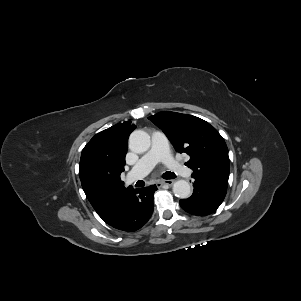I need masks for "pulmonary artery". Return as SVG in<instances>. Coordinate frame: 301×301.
<instances>
[{"label": "pulmonary artery", "mask_w": 301, "mask_h": 301, "mask_svg": "<svg viewBox=\"0 0 301 301\" xmlns=\"http://www.w3.org/2000/svg\"><path fill=\"white\" fill-rule=\"evenodd\" d=\"M158 162L165 163L172 171L182 176H190L192 173L190 169L174 160L169 151L168 140L165 134L161 131H155L152 134L150 150L140 158L127 174V183L144 178Z\"/></svg>", "instance_id": "obj_1"}]
</instances>
